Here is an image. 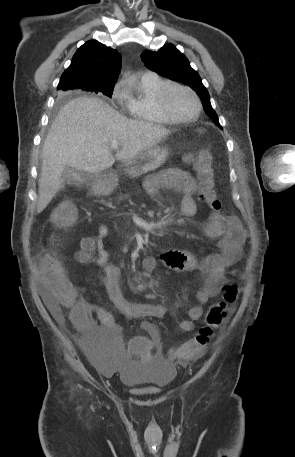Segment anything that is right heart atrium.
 Here are the masks:
<instances>
[{"label": "right heart atrium", "instance_id": "obj_1", "mask_svg": "<svg viewBox=\"0 0 295 457\" xmlns=\"http://www.w3.org/2000/svg\"><path fill=\"white\" fill-rule=\"evenodd\" d=\"M112 98L120 106H126L127 104V93L124 89L123 83L119 82L115 85L112 91Z\"/></svg>", "mask_w": 295, "mask_h": 457}]
</instances>
